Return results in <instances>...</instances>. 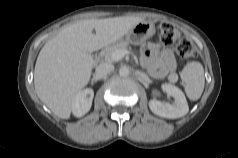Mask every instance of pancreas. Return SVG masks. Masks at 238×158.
<instances>
[{
	"label": "pancreas",
	"instance_id": "obj_1",
	"mask_svg": "<svg viewBox=\"0 0 238 158\" xmlns=\"http://www.w3.org/2000/svg\"><path fill=\"white\" fill-rule=\"evenodd\" d=\"M127 47H128V42H120V43L114 44L103 50V56L106 61L114 62L115 60L112 57V54L117 50H127Z\"/></svg>",
	"mask_w": 238,
	"mask_h": 158
}]
</instances>
